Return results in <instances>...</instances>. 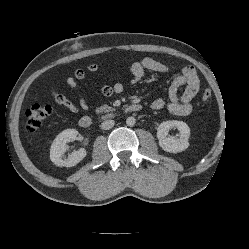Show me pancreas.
Segmentation results:
<instances>
[{"instance_id": "cf45deb5", "label": "pancreas", "mask_w": 249, "mask_h": 249, "mask_svg": "<svg viewBox=\"0 0 249 249\" xmlns=\"http://www.w3.org/2000/svg\"><path fill=\"white\" fill-rule=\"evenodd\" d=\"M113 110H114V108H112L106 104L97 109L98 112H104V113H109Z\"/></svg>"}]
</instances>
